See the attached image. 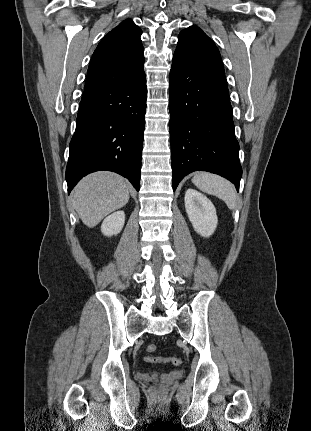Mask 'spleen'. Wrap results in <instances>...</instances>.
Segmentation results:
<instances>
[{"label": "spleen", "instance_id": "obj_1", "mask_svg": "<svg viewBox=\"0 0 311 431\" xmlns=\"http://www.w3.org/2000/svg\"><path fill=\"white\" fill-rule=\"evenodd\" d=\"M194 186H197L201 192L217 196L220 200H224L229 210H235L237 206L236 190L233 184L228 180L215 176V174H206V172H197L192 178Z\"/></svg>", "mask_w": 311, "mask_h": 431}]
</instances>
